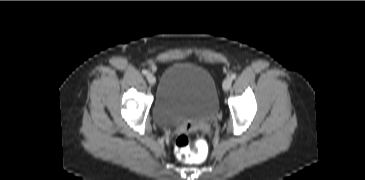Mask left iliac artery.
<instances>
[{
  "label": "left iliac artery",
  "instance_id": "44dca946",
  "mask_svg": "<svg viewBox=\"0 0 365 180\" xmlns=\"http://www.w3.org/2000/svg\"><path fill=\"white\" fill-rule=\"evenodd\" d=\"M231 78H232V79H235V78H236V74H235V73H233V74L231 75Z\"/></svg>",
  "mask_w": 365,
  "mask_h": 180
}]
</instances>
